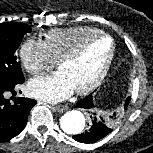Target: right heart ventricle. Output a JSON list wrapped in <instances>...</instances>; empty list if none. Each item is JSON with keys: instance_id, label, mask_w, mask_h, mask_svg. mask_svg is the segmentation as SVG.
<instances>
[{"instance_id": "e07e8e85", "label": "right heart ventricle", "mask_w": 153, "mask_h": 153, "mask_svg": "<svg viewBox=\"0 0 153 153\" xmlns=\"http://www.w3.org/2000/svg\"><path fill=\"white\" fill-rule=\"evenodd\" d=\"M102 33L99 29L90 26H78L63 29H53L44 35L46 44L55 62L69 54L84 40Z\"/></svg>"}]
</instances>
